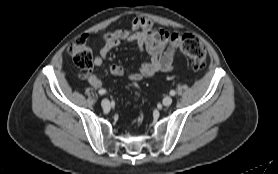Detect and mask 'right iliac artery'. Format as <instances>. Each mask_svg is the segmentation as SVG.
<instances>
[{
  "label": "right iliac artery",
  "mask_w": 278,
  "mask_h": 174,
  "mask_svg": "<svg viewBox=\"0 0 278 174\" xmlns=\"http://www.w3.org/2000/svg\"><path fill=\"white\" fill-rule=\"evenodd\" d=\"M105 93H106V90H105V89H100V90H99V94H100V95H104Z\"/></svg>",
  "instance_id": "obj_1"
}]
</instances>
